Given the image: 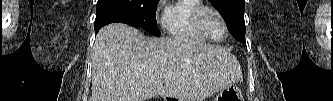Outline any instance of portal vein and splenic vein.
Masks as SVG:
<instances>
[{"label": "portal vein and splenic vein", "mask_w": 333, "mask_h": 101, "mask_svg": "<svg viewBox=\"0 0 333 101\" xmlns=\"http://www.w3.org/2000/svg\"><path fill=\"white\" fill-rule=\"evenodd\" d=\"M170 79H171V75H170V74H166V75H165V80L168 81V80H170Z\"/></svg>", "instance_id": "obj_1"}]
</instances>
